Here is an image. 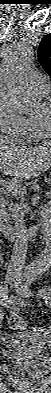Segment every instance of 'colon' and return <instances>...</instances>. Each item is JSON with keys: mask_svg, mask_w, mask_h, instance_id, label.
I'll return each instance as SVG.
<instances>
[{"mask_svg": "<svg viewBox=\"0 0 51 393\" xmlns=\"http://www.w3.org/2000/svg\"><path fill=\"white\" fill-rule=\"evenodd\" d=\"M8 325L13 330H22L25 327V321L22 317L12 314L8 319ZM38 333H42V331Z\"/></svg>", "mask_w": 51, "mask_h": 393, "instance_id": "obj_1", "label": "colon"}]
</instances>
